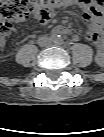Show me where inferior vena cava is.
<instances>
[{"label": "inferior vena cava", "instance_id": "inferior-vena-cava-1", "mask_svg": "<svg viewBox=\"0 0 104 137\" xmlns=\"http://www.w3.org/2000/svg\"><path fill=\"white\" fill-rule=\"evenodd\" d=\"M39 45H40L42 48H47V47L50 45V40H49L47 37H42V38L39 40Z\"/></svg>", "mask_w": 104, "mask_h": 137}]
</instances>
